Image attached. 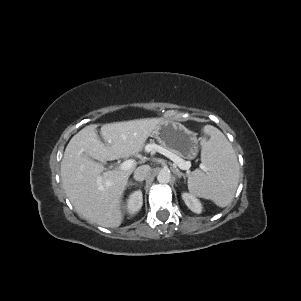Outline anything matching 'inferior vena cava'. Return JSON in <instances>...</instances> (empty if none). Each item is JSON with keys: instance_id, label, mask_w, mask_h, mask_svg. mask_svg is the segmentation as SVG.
<instances>
[{"instance_id": "obj_1", "label": "inferior vena cava", "mask_w": 301, "mask_h": 301, "mask_svg": "<svg viewBox=\"0 0 301 301\" xmlns=\"http://www.w3.org/2000/svg\"><path fill=\"white\" fill-rule=\"evenodd\" d=\"M150 173V167L148 165H142L135 169L134 179L136 181H143Z\"/></svg>"}]
</instances>
